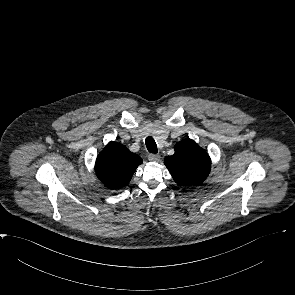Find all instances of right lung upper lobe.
<instances>
[{"mask_svg":"<svg viewBox=\"0 0 295 295\" xmlns=\"http://www.w3.org/2000/svg\"><path fill=\"white\" fill-rule=\"evenodd\" d=\"M142 159L124 145L109 142L98 155L95 171L98 178L109 188L126 186Z\"/></svg>","mask_w":295,"mask_h":295,"instance_id":"obj_1","label":"right lung upper lobe"}]
</instances>
